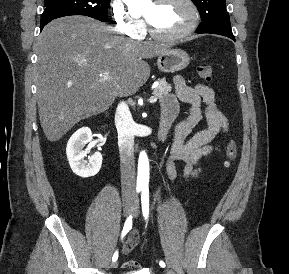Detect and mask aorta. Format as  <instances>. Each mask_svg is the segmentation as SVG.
<instances>
[{
	"mask_svg": "<svg viewBox=\"0 0 289 274\" xmlns=\"http://www.w3.org/2000/svg\"><path fill=\"white\" fill-rule=\"evenodd\" d=\"M125 3L131 7H139L144 1L147 0H124ZM149 182V160L147 154L142 151L138 160V178L137 183L139 185H147Z\"/></svg>",
	"mask_w": 289,
	"mask_h": 274,
	"instance_id": "762f6f07",
	"label": "aorta"
}]
</instances>
